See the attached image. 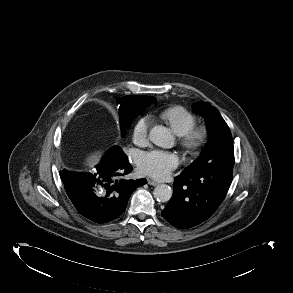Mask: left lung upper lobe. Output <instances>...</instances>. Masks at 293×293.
Instances as JSON below:
<instances>
[{
	"label": "left lung upper lobe",
	"mask_w": 293,
	"mask_h": 293,
	"mask_svg": "<svg viewBox=\"0 0 293 293\" xmlns=\"http://www.w3.org/2000/svg\"><path fill=\"white\" fill-rule=\"evenodd\" d=\"M195 112L202 115L207 121L210 140L203 148L200 156L185 170L188 172L223 168H233L234 150L230 129L219 111L208 102L199 101L193 106Z\"/></svg>",
	"instance_id": "1"
}]
</instances>
